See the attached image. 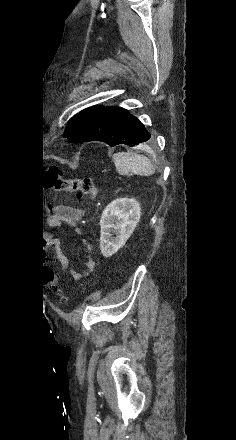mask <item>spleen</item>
Masks as SVG:
<instances>
[{
	"mask_svg": "<svg viewBox=\"0 0 236 440\" xmlns=\"http://www.w3.org/2000/svg\"><path fill=\"white\" fill-rule=\"evenodd\" d=\"M116 170L119 174L125 175L132 172L141 176L154 174L155 168L144 155L133 152H117L112 157Z\"/></svg>",
	"mask_w": 236,
	"mask_h": 440,
	"instance_id": "1",
	"label": "spleen"
}]
</instances>
